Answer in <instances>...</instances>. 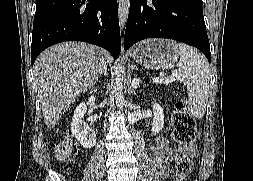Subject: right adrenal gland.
<instances>
[{"mask_svg": "<svg viewBox=\"0 0 253 181\" xmlns=\"http://www.w3.org/2000/svg\"><path fill=\"white\" fill-rule=\"evenodd\" d=\"M101 75L107 76V67L104 68L103 73Z\"/></svg>", "mask_w": 253, "mask_h": 181, "instance_id": "2a0ac1e0", "label": "right adrenal gland"}]
</instances>
